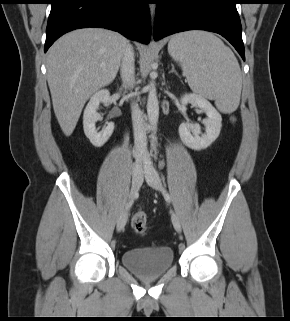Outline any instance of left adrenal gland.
I'll use <instances>...</instances> for the list:
<instances>
[{
    "mask_svg": "<svg viewBox=\"0 0 290 321\" xmlns=\"http://www.w3.org/2000/svg\"><path fill=\"white\" fill-rule=\"evenodd\" d=\"M171 66H172V69H171V71L169 73H175L176 75H178V73L176 72V70L174 68V65L171 64Z\"/></svg>",
    "mask_w": 290,
    "mask_h": 321,
    "instance_id": "left-adrenal-gland-1",
    "label": "left adrenal gland"
}]
</instances>
